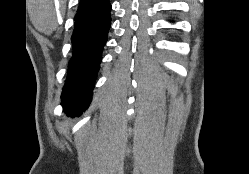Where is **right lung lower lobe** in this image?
I'll return each mask as SVG.
<instances>
[{"label": "right lung lower lobe", "instance_id": "right-lung-lower-lobe-1", "mask_svg": "<svg viewBox=\"0 0 249 174\" xmlns=\"http://www.w3.org/2000/svg\"><path fill=\"white\" fill-rule=\"evenodd\" d=\"M109 0H93L79 6L72 35L73 55L62 93V106L69 116L88 108L111 25Z\"/></svg>", "mask_w": 249, "mask_h": 174}]
</instances>
